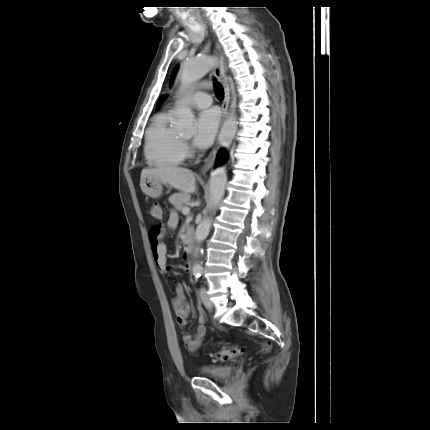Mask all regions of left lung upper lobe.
Returning <instances> with one entry per match:
<instances>
[{"label":"left lung upper lobe","mask_w":430,"mask_h":430,"mask_svg":"<svg viewBox=\"0 0 430 430\" xmlns=\"http://www.w3.org/2000/svg\"><path fill=\"white\" fill-rule=\"evenodd\" d=\"M176 71H177V67L174 69L173 74H172V77L174 76V74L176 73ZM164 99H165V97H161V98L159 99V101H158V104L162 103V102L164 101Z\"/></svg>","instance_id":"left-lung-upper-lobe-1"}]
</instances>
